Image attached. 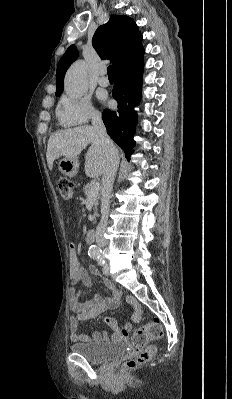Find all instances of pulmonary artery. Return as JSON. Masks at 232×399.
<instances>
[{"mask_svg":"<svg viewBox=\"0 0 232 399\" xmlns=\"http://www.w3.org/2000/svg\"><path fill=\"white\" fill-rule=\"evenodd\" d=\"M96 82L99 85L98 90H105L107 86H109V81L106 79V70L100 69L97 75Z\"/></svg>","mask_w":232,"mask_h":399,"instance_id":"obj_1","label":"pulmonary artery"}]
</instances>
